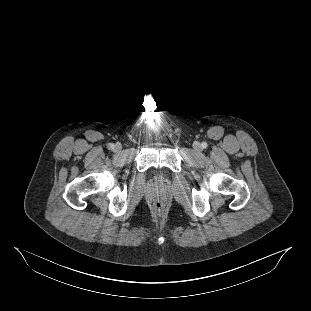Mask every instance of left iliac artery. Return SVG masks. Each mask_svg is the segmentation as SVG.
<instances>
[{"label":"left iliac artery","mask_w":311,"mask_h":311,"mask_svg":"<svg viewBox=\"0 0 311 311\" xmlns=\"http://www.w3.org/2000/svg\"><path fill=\"white\" fill-rule=\"evenodd\" d=\"M202 147H203V148H206V147H207V143H206V142H203V143H202Z\"/></svg>","instance_id":"left-iliac-artery-1"}]
</instances>
